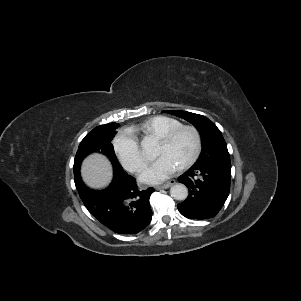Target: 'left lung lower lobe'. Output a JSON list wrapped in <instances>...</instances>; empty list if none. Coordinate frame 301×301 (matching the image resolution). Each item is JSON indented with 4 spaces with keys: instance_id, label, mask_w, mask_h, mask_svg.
Here are the masks:
<instances>
[{
    "instance_id": "0a47b994",
    "label": "left lung lower lobe",
    "mask_w": 301,
    "mask_h": 301,
    "mask_svg": "<svg viewBox=\"0 0 301 301\" xmlns=\"http://www.w3.org/2000/svg\"><path fill=\"white\" fill-rule=\"evenodd\" d=\"M231 167L193 165L178 180L188 187V198L178 204L180 213L190 219L217 215L230 192Z\"/></svg>"
}]
</instances>
